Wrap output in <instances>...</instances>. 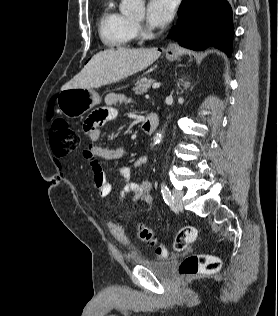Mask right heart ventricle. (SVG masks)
Returning <instances> with one entry per match:
<instances>
[{
  "instance_id": "e07e8e85",
  "label": "right heart ventricle",
  "mask_w": 278,
  "mask_h": 316,
  "mask_svg": "<svg viewBox=\"0 0 278 316\" xmlns=\"http://www.w3.org/2000/svg\"><path fill=\"white\" fill-rule=\"evenodd\" d=\"M98 29L102 42L112 48L129 45L135 34L133 22L116 10L113 0L104 2Z\"/></svg>"
}]
</instances>
